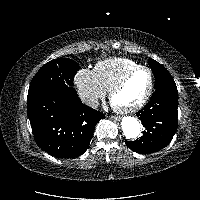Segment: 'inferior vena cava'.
Segmentation results:
<instances>
[{"label": "inferior vena cava", "mask_w": 200, "mask_h": 200, "mask_svg": "<svg viewBox=\"0 0 200 200\" xmlns=\"http://www.w3.org/2000/svg\"><path fill=\"white\" fill-rule=\"evenodd\" d=\"M81 100L84 104L92 108H97L99 105L98 99L93 96H83L81 97Z\"/></svg>", "instance_id": "obj_1"}]
</instances>
